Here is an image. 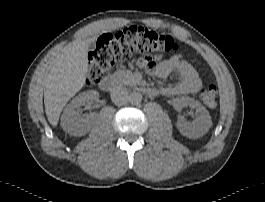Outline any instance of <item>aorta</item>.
Returning <instances> with one entry per match:
<instances>
[{"label": "aorta", "instance_id": "762f6f07", "mask_svg": "<svg viewBox=\"0 0 265 202\" xmlns=\"http://www.w3.org/2000/svg\"><path fill=\"white\" fill-rule=\"evenodd\" d=\"M142 101V94L140 92H132L130 95H129V102L132 104V105H138L140 104Z\"/></svg>", "mask_w": 265, "mask_h": 202}]
</instances>
